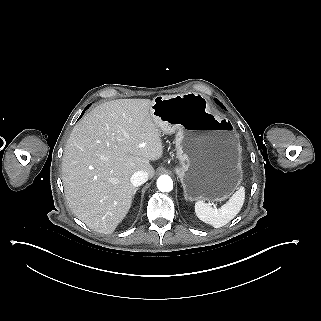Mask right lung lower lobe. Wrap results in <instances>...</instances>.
Returning <instances> with one entry per match:
<instances>
[{
  "label": "right lung lower lobe",
  "mask_w": 321,
  "mask_h": 321,
  "mask_svg": "<svg viewBox=\"0 0 321 321\" xmlns=\"http://www.w3.org/2000/svg\"><path fill=\"white\" fill-rule=\"evenodd\" d=\"M89 106H90V105H88V106L85 108V110H86ZM85 110H84V111H85ZM84 111L82 112L81 116L83 115ZM81 116H80V117H81Z\"/></svg>",
  "instance_id": "right-lung-lower-lobe-1"
}]
</instances>
